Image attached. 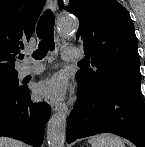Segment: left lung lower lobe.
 <instances>
[{
    "label": "left lung lower lobe",
    "instance_id": "left-lung-lower-lobe-1",
    "mask_svg": "<svg viewBox=\"0 0 145 147\" xmlns=\"http://www.w3.org/2000/svg\"><path fill=\"white\" fill-rule=\"evenodd\" d=\"M78 84V99L67 123V143L113 133L130 140L136 147H145L141 77H119L97 89L80 81Z\"/></svg>",
    "mask_w": 145,
    "mask_h": 147
}]
</instances>
